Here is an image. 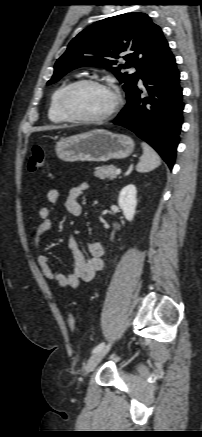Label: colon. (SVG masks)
I'll return each mask as SVG.
<instances>
[{"label": "colon", "mask_w": 202, "mask_h": 437, "mask_svg": "<svg viewBox=\"0 0 202 437\" xmlns=\"http://www.w3.org/2000/svg\"><path fill=\"white\" fill-rule=\"evenodd\" d=\"M45 163V153L41 146H34L31 150L28 168L30 171H37L43 168ZM67 324L71 331H75L77 322L75 316L70 313L67 318Z\"/></svg>", "instance_id": "obj_1"}]
</instances>
